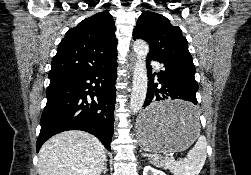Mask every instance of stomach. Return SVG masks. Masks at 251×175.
<instances>
[{"label":"stomach","instance_id":"1","mask_svg":"<svg viewBox=\"0 0 251 175\" xmlns=\"http://www.w3.org/2000/svg\"><path fill=\"white\" fill-rule=\"evenodd\" d=\"M189 105L191 100H160L158 107L144 109L135 125L140 145L154 154L187 149L200 133L197 107Z\"/></svg>","mask_w":251,"mask_h":175}]
</instances>
